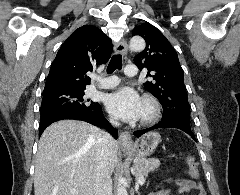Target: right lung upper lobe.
Returning a JSON list of instances; mask_svg holds the SVG:
<instances>
[{"mask_svg": "<svg viewBox=\"0 0 240 195\" xmlns=\"http://www.w3.org/2000/svg\"><path fill=\"white\" fill-rule=\"evenodd\" d=\"M113 45L99 28L84 25L61 45L47 76L43 95L84 88L90 83L86 75L93 65L107 62Z\"/></svg>", "mask_w": 240, "mask_h": 195, "instance_id": "1", "label": "right lung upper lobe"}]
</instances>
